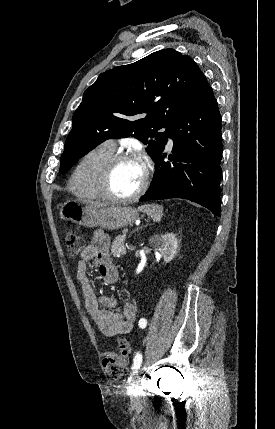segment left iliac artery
<instances>
[{"label": "left iliac artery", "instance_id": "obj_1", "mask_svg": "<svg viewBox=\"0 0 275 429\" xmlns=\"http://www.w3.org/2000/svg\"><path fill=\"white\" fill-rule=\"evenodd\" d=\"M146 326H147V320L145 318L140 319L139 327L141 329H144ZM141 362H142V355L138 352L134 358L133 365H132V370L134 374L137 373V370L139 369Z\"/></svg>", "mask_w": 275, "mask_h": 429}]
</instances>
